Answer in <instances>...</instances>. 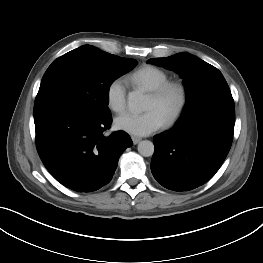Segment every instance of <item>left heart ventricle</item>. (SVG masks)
I'll return each instance as SVG.
<instances>
[{
    "label": "left heart ventricle",
    "mask_w": 263,
    "mask_h": 263,
    "mask_svg": "<svg viewBox=\"0 0 263 263\" xmlns=\"http://www.w3.org/2000/svg\"><path fill=\"white\" fill-rule=\"evenodd\" d=\"M176 102V97L174 95L168 97L165 101L159 102L154 99L151 95L148 98L146 109H155L157 110L162 117L165 119L168 112L174 107Z\"/></svg>",
    "instance_id": "left-heart-ventricle-1"
}]
</instances>
